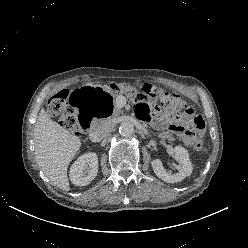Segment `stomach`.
Wrapping results in <instances>:
<instances>
[{
  "mask_svg": "<svg viewBox=\"0 0 248 248\" xmlns=\"http://www.w3.org/2000/svg\"><path fill=\"white\" fill-rule=\"evenodd\" d=\"M71 107L81 113L90 112L98 120H109L116 113V101L105 86H78L70 94Z\"/></svg>",
  "mask_w": 248,
  "mask_h": 248,
  "instance_id": "0dacf381",
  "label": "stomach"
}]
</instances>
